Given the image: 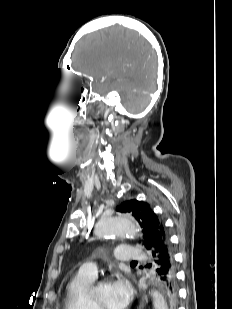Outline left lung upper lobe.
I'll return each instance as SVG.
<instances>
[{
  "instance_id": "left-lung-upper-lobe-1",
  "label": "left lung upper lobe",
  "mask_w": 232,
  "mask_h": 309,
  "mask_svg": "<svg viewBox=\"0 0 232 309\" xmlns=\"http://www.w3.org/2000/svg\"><path fill=\"white\" fill-rule=\"evenodd\" d=\"M116 210L122 213H129L138 221L143 233V239L140 243L148 252L159 238L160 231L163 230L165 232L161 219L153 212L148 203L133 199L123 202ZM175 294L176 291L174 296L177 304V296ZM166 303L170 307L167 297Z\"/></svg>"
}]
</instances>
